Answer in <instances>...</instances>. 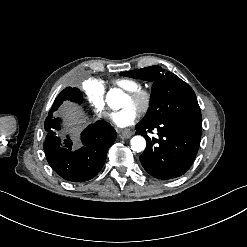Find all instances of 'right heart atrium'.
<instances>
[{"instance_id": "1", "label": "right heart atrium", "mask_w": 247, "mask_h": 247, "mask_svg": "<svg viewBox=\"0 0 247 247\" xmlns=\"http://www.w3.org/2000/svg\"><path fill=\"white\" fill-rule=\"evenodd\" d=\"M85 98L93 109H102L105 104L106 86L97 78H88L82 84Z\"/></svg>"}]
</instances>
